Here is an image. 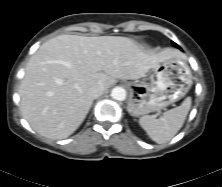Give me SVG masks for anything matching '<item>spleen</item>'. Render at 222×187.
<instances>
[{"label":"spleen","mask_w":222,"mask_h":187,"mask_svg":"<svg viewBox=\"0 0 222 187\" xmlns=\"http://www.w3.org/2000/svg\"><path fill=\"white\" fill-rule=\"evenodd\" d=\"M191 107V97H187L180 106L170 109L159 118L152 115L142 116L141 127L158 144L167 143L181 129Z\"/></svg>","instance_id":"3e777b00"}]
</instances>
